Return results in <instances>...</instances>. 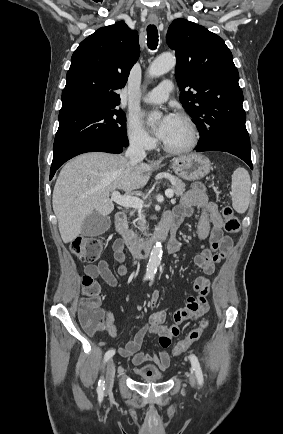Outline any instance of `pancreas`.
I'll return each instance as SVG.
<instances>
[{
	"label": "pancreas",
	"instance_id": "cf45deb5",
	"mask_svg": "<svg viewBox=\"0 0 283 434\" xmlns=\"http://www.w3.org/2000/svg\"><path fill=\"white\" fill-rule=\"evenodd\" d=\"M185 183H183L179 178L177 177H172L171 178V189L173 190V192L176 194V196H182L184 191H185ZM138 224H139V229L143 232L147 229L146 225V220H145V215L141 212L138 213V218H137ZM123 227L126 229V231L131 234L134 235L132 230H128V224L125 222L123 223Z\"/></svg>",
	"mask_w": 283,
	"mask_h": 434
}]
</instances>
